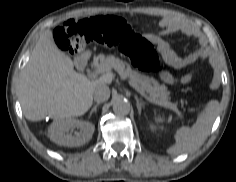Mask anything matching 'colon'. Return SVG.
Returning <instances> with one entry per match:
<instances>
[{
    "mask_svg": "<svg viewBox=\"0 0 236 182\" xmlns=\"http://www.w3.org/2000/svg\"><path fill=\"white\" fill-rule=\"evenodd\" d=\"M57 45L76 54L91 43L116 46L138 69L153 72L158 58L152 45L137 34L125 20L115 16H96L65 21L54 32Z\"/></svg>",
    "mask_w": 236,
    "mask_h": 182,
    "instance_id": "5ec220e1",
    "label": "colon"
}]
</instances>
